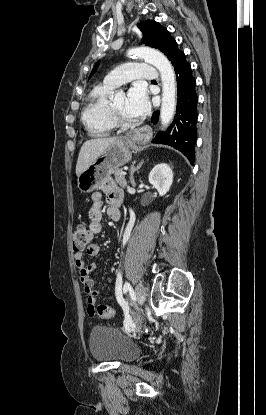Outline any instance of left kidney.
<instances>
[{
	"mask_svg": "<svg viewBox=\"0 0 266 415\" xmlns=\"http://www.w3.org/2000/svg\"><path fill=\"white\" fill-rule=\"evenodd\" d=\"M149 182L158 191L160 196H164L173 183V172L166 163L156 165L149 174Z\"/></svg>",
	"mask_w": 266,
	"mask_h": 415,
	"instance_id": "1",
	"label": "left kidney"
}]
</instances>
